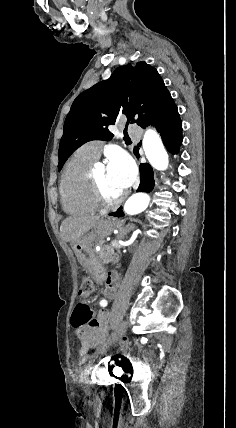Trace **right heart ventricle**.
<instances>
[{"label":"right heart ventricle","mask_w":236,"mask_h":428,"mask_svg":"<svg viewBox=\"0 0 236 428\" xmlns=\"http://www.w3.org/2000/svg\"><path fill=\"white\" fill-rule=\"evenodd\" d=\"M94 161L83 146L73 154L65 168L60 182V196L63 207L69 213L93 214L101 207L91 190L90 167Z\"/></svg>","instance_id":"1"}]
</instances>
